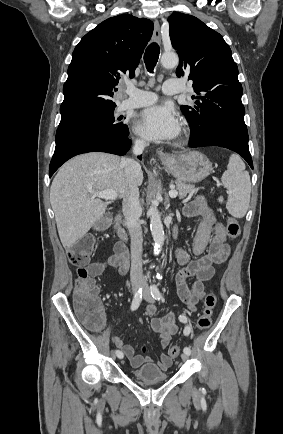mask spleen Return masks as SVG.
<instances>
[{
	"label": "spleen",
	"mask_w": 283,
	"mask_h": 434,
	"mask_svg": "<svg viewBox=\"0 0 283 434\" xmlns=\"http://www.w3.org/2000/svg\"><path fill=\"white\" fill-rule=\"evenodd\" d=\"M222 183L228 193V212L235 218L244 217L249 207L251 182L245 164L238 155L230 156L227 170L222 175ZM218 200L223 202L222 197Z\"/></svg>",
	"instance_id": "3e777b00"
}]
</instances>
